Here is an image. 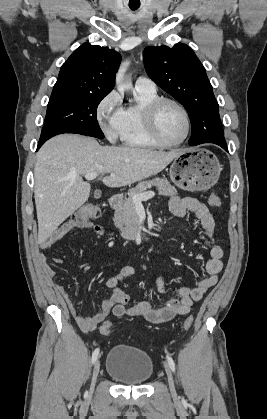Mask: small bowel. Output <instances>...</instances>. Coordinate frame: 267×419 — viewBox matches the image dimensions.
I'll return each instance as SVG.
<instances>
[{"label":"small bowel","instance_id":"1","mask_svg":"<svg viewBox=\"0 0 267 419\" xmlns=\"http://www.w3.org/2000/svg\"><path fill=\"white\" fill-rule=\"evenodd\" d=\"M169 210L175 217H184L187 213H194L200 221L203 232L213 244L210 249V259L207 261L205 270L208 276L195 282L194 287H180L169 298V300L160 308H153L148 301H141L137 304L128 305L129 296L120 288V283L135 273L132 266L122 267L115 275L106 281V286L112 290L110 297L105 299L99 312L92 317L81 316L70 295L63 284H56L55 289L62 296L75 321L80 329L85 332L95 330L109 314L117 317L128 316L132 318H143L151 323H163L174 319L177 316L186 315L190 312L193 302L203 298L205 292L218 282V274L223 269V248L216 243L215 221L208 207L199 200L191 197L179 198L173 197L169 201ZM75 228L85 229L87 232L104 236L106 231L101 225L90 221L74 222L68 220L58 226L52 234L42 244V249H46L55 242L61 240L68 232ZM56 262L62 263L59 258ZM40 262L48 276L54 277L55 272L47 263L45 255L40 256ZM156 287L160 293L166 292L163 277L156 279Z\"/></svg>","mask_w":267,"mask_h":419}]
</instances>
